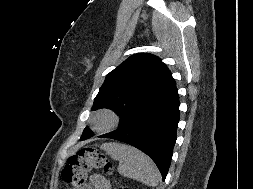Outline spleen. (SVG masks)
<instances>
[{"instance_id": "3e777b00", "label": "spleen", "mask_w": 253, "mask_h": 189, "mask_svg": "<svg viewBox=\"0 0 253 189\" xmlns=\"http://www.w3.org/2000/svg\"><path fill=\"white\" fill-rule=\"evenodd\" d=\"M112 159L119 161L118 172L149 186H156L160 179L158 168L143 152L125 144L109 142L101 145Z\"/></svg>"}]
</instances>
